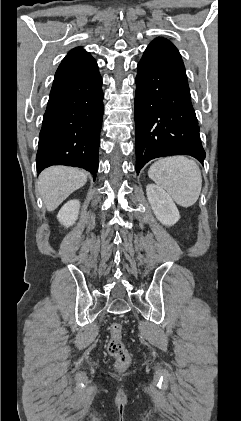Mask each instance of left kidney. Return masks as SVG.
Returning a JSON list of instances; mask_svg holds the SVG:
<instances>
[{
    "mask_svg": "<svg viewBox=\"0 0 241 421\" xmlns=\"http://www.w3.org/2000/svg\"><path fill=\"white\" fill-rule=\"evenodd\" d=\"M146 194L156 218L165 226H172L180 219L179 211L170 195L155 184H148Z\"/></svg>",
    "mask_w": 241,
    "mask_h": 421,
    "instance_id": "5707ae66",
    "label": "left kidney"
}]
</instances>
